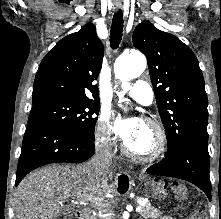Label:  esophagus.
<instances>
[{"label": "esophagus", "mask_w": 221, "mask_h": 219, "mask_svg": "<svg viewBox=\"0 0 221 219\" xmlns=\"http://www.w3.org/2000/svg\"><path fill=\"white\" fill-rule=\"evenodd\" d=\"M116 7L119 8V7H120V4H119V3H116Z\"/></svg>", "instance_id": "obj_1"}]
</instances>
